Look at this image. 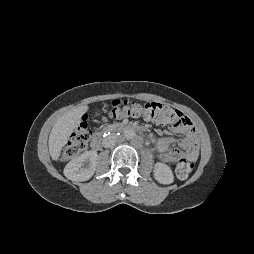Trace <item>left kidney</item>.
<instances>
[{
  "mask_svg": "<svg viewBox=\"0 0 254 254\" xmlns=\"http://www.w3.org/2000/svg\"><path fill=\"white\" fill-rule=\"evenodd\" d=\"M154 178L161 184H171L174 176L170 167L164 163L158 162L154 168Z\"/></svg>",
  "mask_w": 254,
  "mask_h": 254,
  "instance_id": "5707ae66",
  "label": "left kidney"
}]
</instances>
